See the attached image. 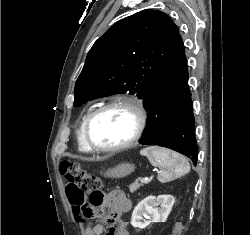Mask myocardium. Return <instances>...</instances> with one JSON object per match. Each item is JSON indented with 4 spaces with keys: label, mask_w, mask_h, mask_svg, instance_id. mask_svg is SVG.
I'll return each mask as SVG.
<instances>
[{
    "label": "myocardium",
    "mask_w": 250,
    "mask_h": 235,
    "mask_svg": "<svg viewBox=\"0 0 250 235\" xmlns=\"http://www.w3.org/2000/svg\"><path fill=\"white\" fill-rule=\"evenodd\" d=\"M114 107L125 108V109L129 110L134 115V118H135L134 131H133L131 137L123 143H120V144H117L114 146H109V147L97 146V145L93 144L91 141L90 127H91L93 121L95 120V118L99 114H101L102 112H104L110 108H114ZM145 126H146V113H145L144 107L140 101H138L137 99H134V98H115V99H112V100L100 105L99 107L95 108L94 110H92V112L89 114V116L86 119V122L84 124L83 138H84V142L89 150L95 151L98 153H113V152L125 150V149L130 148L133 145H135L139 141V139H140V137L145 129Z\"/></svg>",
    "instance_id": "obj_1"
}]
</instances>
